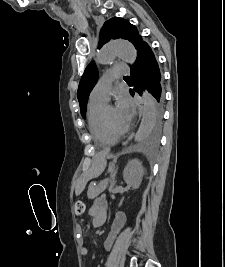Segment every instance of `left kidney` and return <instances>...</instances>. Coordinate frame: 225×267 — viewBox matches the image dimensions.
<instances>
[{
    "instance_id": "5707ae66",
    "label": "left kidney",
    "mask_w": 225,
    "mask_h": 267,
    "mask_svg": "<svg viewBox=\"0 0 225 267\" xmlns=\"http://www.w3.org/2000/svg\"><path fill=\"white\" fill-rule=\"evenodd\" d=\"M143 166L142 163L137 160H131L128 162L123 171L124 181L133 189H138L143 177Z\"/></svg>"
}]
</instances>
